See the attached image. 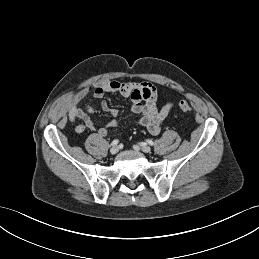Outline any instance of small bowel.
<instances>
[{"instance_id":"1","label":"small bowel","mask_w":259,"mask_h":259,"mask_svg":"<svg viewBox=\"0 0 259 259\" xmlns=\"http://www.w3.org/2000/svg\"><path fill=\"white\" fill-rule=\"evenodd\" d=\"M90 91L89 87H84L66 99L65 108L68 118L72 122H77L76 131L78 133L89 130L95 131L99 137H106L108 130L118 125L119 111L111 107L108 102L102 101L101 109L111 117V120L106 126L97 129L90 115L93 109L85 111L79 106ZM109 93H119L130 98L132 112L139 115L136 122L145 127L152 135H157L161 131L163 121L173 108L171 102L159 107L158 91L154 85L147 82L138 84L117 80L103 81L93 89L96 98H103Z\"/></svg>"}]
</instances>
